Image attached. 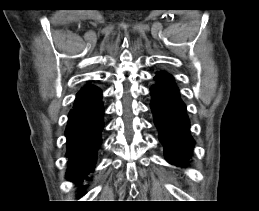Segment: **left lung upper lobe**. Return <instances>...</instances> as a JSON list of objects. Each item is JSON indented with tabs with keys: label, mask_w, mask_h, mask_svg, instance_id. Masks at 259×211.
<instances>
[{
	"label": "left lung upper lobe",
	"mask_w": 259,
	"mask_h": 211,
	"mask_svg": "<svg viewBox=\"0 0 259 211\" xmlns=\"http://www.w3.org/2000/svg\"><path fill=\"white\" fill-rule=\"evenodd\" d=\"M157 74H159V75H161V76H168V77L171 76V75H169L168 73H166V72H164V71H161V72H159V73H157Z\"/></svg>",
	"instance_id": "obj_1"
}]
</instances>
